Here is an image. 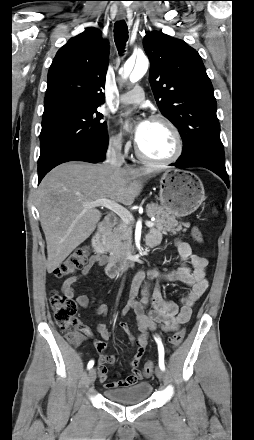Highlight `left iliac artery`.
I'll list each match as a JSON object with an SVG mask.
<instances>
[{
  "label": "left iliac artery",
  "mask_w": 254,
  "mask_h": 440,
  "mask_svg": "<svg viewBox=\"0 0 254 440\" xmlns=\"http://www.w3.org/2000/svg\"><path fill=\"white\" fill-rule=\"evenodd\" d=\"M155 340L158 344V352H159V367L164 371L165 370V364H164V347L161 342V339L159 337H155Z\"/></svg>",
  "instance_id": "left-iliac-artery-1"
}]
</instances>
